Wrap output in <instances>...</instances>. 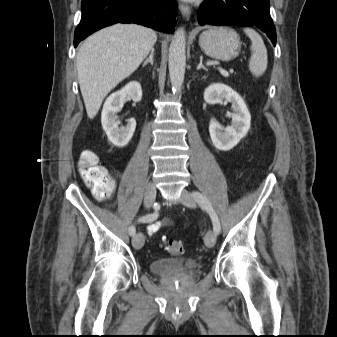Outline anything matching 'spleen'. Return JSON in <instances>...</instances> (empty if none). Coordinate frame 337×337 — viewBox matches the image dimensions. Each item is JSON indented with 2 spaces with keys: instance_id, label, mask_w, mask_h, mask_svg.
<instances>
[{
  "instance_id": "spleen-1",
  "label": "spleen",
  "mask_w": 337,
  "mask_h": 337,
  "mask_svg": "<svg viewBox=\"0 0 337 337\" xmlns=\"http://www.w3.org/2000/svg\"><path fill=\"white\" fill-rule=\"evenodd\" d=\"M245 34L251 40V57L249 59V70L255 76L259 77L267 69V49L261 36L253 29L245 28Z\"/></svg>"
}]
</instances>
